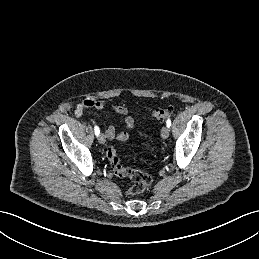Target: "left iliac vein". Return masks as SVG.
<instances>
[{
	"label": "left iliac vein",
	"mask_w": 259,
	"mask_h": 259,
	"mask_svg": "<svg viewBox=\"0 0 259 259\" xmlns=\"http://www.w3.org/2000/svg\"><path fill=\"white\" fill-rule=\"evenodd\" d=\"M169 136V128L167 126L162 127L161 129V137L163 139H167Z\"/></svg>",
	"instance_id": "left-iliac-vein-1"
}]
</instances>
